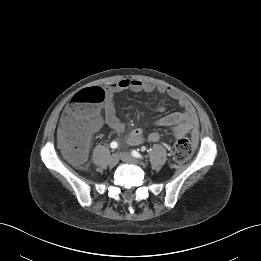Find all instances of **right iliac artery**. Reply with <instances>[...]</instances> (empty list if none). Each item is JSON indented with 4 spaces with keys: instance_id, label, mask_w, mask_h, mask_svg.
<instances>
[{
    "instance_id": "1",
    "label": "right iliac artery",
    "mask_w": 261,
    "mask_h": 261,
    "mask_svg": "<svg viewBox=\"0 0 261 261\" xmlns=\"http://www.w3.org/2000/svg\"><path fill=\"white\" fill-rule=\"evenodd\" d=\"M110 147H111L112 149H116V148L118 147L117 142H115V141L111 142Z\"/></svg>"
}]
</instances>
